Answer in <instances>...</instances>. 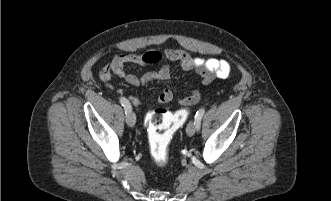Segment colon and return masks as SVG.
<instances>
[{
  "label": "colon",
  "mask_w": 331,
  "mask_h": 201,
  "mask_svg": "<svg viewBox=\"0 0 331 201\" xmlns=\"http://www.w3.org/2000/svg\"><path fill=\"white\" fill-rule=\"evenodd\" d=\"M200 99V93L195 90L189 97L183 99V104L191 106ZM189 110L183 108L176 113L158 108L147 114L145 123L147 126L149 147L152 158L158 165H164L169 158V145L172 136L187 119Z\"/></svg>",
  "instance_id": "obj_1"
}]
</instances>
